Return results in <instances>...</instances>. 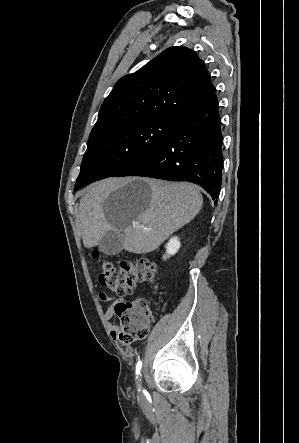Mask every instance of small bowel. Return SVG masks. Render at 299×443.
Segmentation results:
<instances>
[{
  "mask_svg": "<svg viewBox=\"0 0 299 443\" xmlns=\"http://www.w3.org/2000/svg\"><path fill=\"white\" fill-rule=\"evenodd\" d=\"M99 299L101 301H109V300H111V298L108 295H106L105 293H103V292L99 293ZM120 302H123V300L121 298L114 299L113 302L107 307V309H106V311L104 313V318L107 321L110 335L113 338H115L117 336V333H118V326L114 322V318L116 316L115 306H116V304H118Z\"/></svg>",
  "mask_w": 299,
  "mask_h": 443,
  "instance_id": "c3829d8e",
  "label": "small bowel"
}]
</instances>
